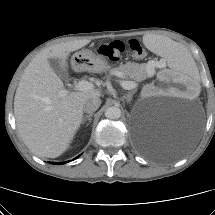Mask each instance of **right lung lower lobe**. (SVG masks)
Instances as JSON below:
<instances>
[{
  "instance_id": "98d812e1",
  "label": "right lung lower lobe",
  "mask_w": 215,
  "mask_h": 215,
  "mask_svg": "<svg viewBox=\"0 0 215 215\" xmlns=\"http://www.w3.org/2000/svg\"><path fill=\"white\" fill-rule=\"evenodd\" d=\"M52 164H63V163H56V162H54V163H52Z\"/></svg>"
}]
</instances>
